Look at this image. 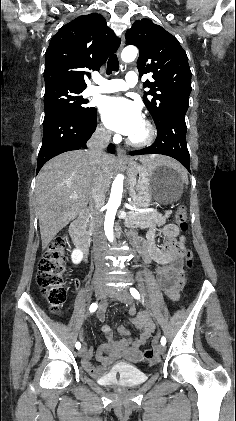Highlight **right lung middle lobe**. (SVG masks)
I'll return each instance as SVG.
<instances>
[{"instance_id": "right-lung-middle-lobe-1", "label": "right lung middle lobe", "mask_w": 236, "mask_h": 421, "mask_svg": "<svg viewBox=\"0 0 236 421\" xmlns=\"http://www.w3.org/2000/svg\"><path fill=\"white\" fill-rule=\"evenodd\" d=\"M82 91V89H68L56 86L46 87L44 94V119L59 114L83 118L91 113L95 108L84 106L88 100L80 96Z\"/></svg>"}]
</instances>
